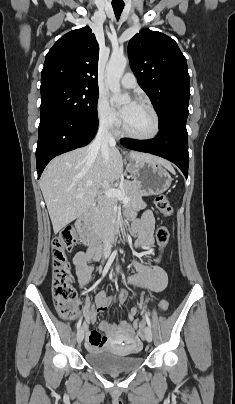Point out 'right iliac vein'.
Segmentation results:
<instances>
[{
  "mask_svg": "<svg viewBox=\"0 0 235 404\" xmlns=\"http://www.w3.org/2000/svg\"><path fill=\"white\" fill-rule=\"evenodd\" d=\"M84 338V331L83 328H80L77 332V342L81 343L83 341Z\"/></svg>",
  "mask_w": 235,
  "mask_h": 404,
  "instance_id": "obj_1",
  "label": "right iliac vein"
}]
</instances>
